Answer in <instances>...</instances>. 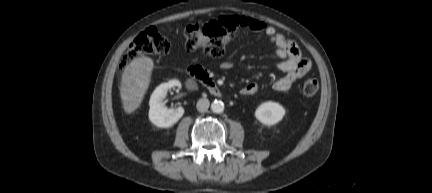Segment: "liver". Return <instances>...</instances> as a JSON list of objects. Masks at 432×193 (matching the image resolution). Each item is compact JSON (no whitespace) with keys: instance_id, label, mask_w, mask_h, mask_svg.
Segmentation results:
<instances>
[{"instance_id":"obj_1","label":"liver","mask_w":432,"mask_h":193,"mask_svg":"<svg viewBox=\"0 0 432 193\" xmlns=\"http://www.w3.org/2000/svg\"><path fill=\"white\" fill-rule=\"evenodd\" d=\"M153 61L148 57L133 60L121 78L120 96L125 113H133L149 87Z\"/></svg>"}]
</instances>
